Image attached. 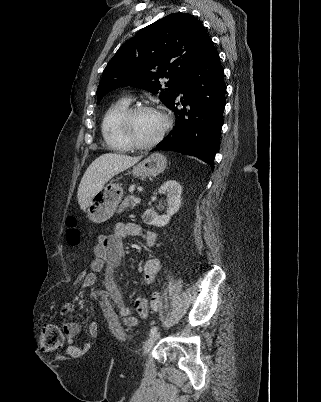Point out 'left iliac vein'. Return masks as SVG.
Masks as SVG:
<instances>
[{
    "mask_svg": "<svg viewBox=\"0 0 321 402\" xmlns=\"http://www.w3.org/2000/svg\"><path fill=\"white\" fill-rule=\"evenodd\" d=\"M159 337H160V333H155L146 341V343L143 347L145 355L150 352V350L153 348L155 342L158 340Z\"/></svg>",
    "mask_w": 321,
    "mask_h": 402,
    "instance_id": "1",
    "label": "left iliac vein"
}]
</instances>
